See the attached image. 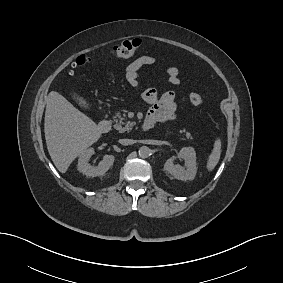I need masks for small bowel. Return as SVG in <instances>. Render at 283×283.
Returning a JSON list of instances; mask_svg holds the SVG:
<instances>
[{"label":"small bowel","instance_id":"1","mask_svg":"<svg viewBox=\"0 0 283 283\" xmlns=\"http://www.w3.org/2000/svg\"><path fill=\"white\" fill-rule=\"evenodd\" d=\"M156 58L151 55H143L132 61L125 68V78L131 86L139 84L140 70L149 65H153ZM167 81L172 85L180 84L179 70L176 67L165 69ZM143 100L150 105L146 119L153 125L174 120L176 117V96L172 91L159 93L155 88H148L142 93Z\"/></svg>","mask_w":283,"mask_h":283}]
</instances>
